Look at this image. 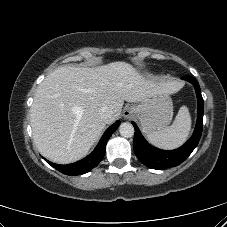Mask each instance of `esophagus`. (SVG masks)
I'll return each mask as SVG.
<instances>
[{
  "label": "esophagus",
  "mask_w": 227,
  "mask_h": 227,
  "mask_svg": "<svg viewBox=\"0 0 227 227\" xmlns=\"http://www.w3.org/2000/svg\"><path fill=\"white\" fill-rule=\"evenodd\" d=\"M133 113H134L133 108L127 107L123 111V117L125 119H129V118H131L133 116Z\"/></svg>",
  "instance_id": "obj_1"
}]
</instances>
